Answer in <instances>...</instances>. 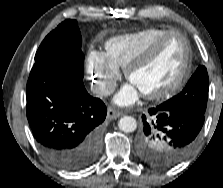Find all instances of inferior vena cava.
I'll return each instance as SVG.
<instances>
[{
    "label": "inferior vena cava",
    "mask_w": 223,
    "mask_h": 188,
    "mask_svg": "<svg viewBox=\"0 0 223 188\" xmlns=\"http://www.w3.org/2000/svg\"><path fill=\"white\" fill-rule=\"evenodd\" d=\"M115 85L105 82H97L91 86V91L96 97L109 96L114 92Z\"/></svg>",
    "instance_id": "inferior-vena-cava-1"
}]
</instances>
